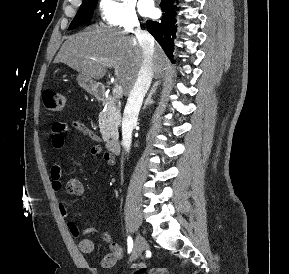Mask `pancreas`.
<instances>
[{
	"instance_id": "cf45deb5",
	"label": "pancreas",
	"mask_w": 289,
	"mask_h": 274,
	"mask_svg": "<svg viewBox=\"0 0 289 274\" xmlns=\"http://www.w3.org/2000/svg\"><path fill=\"white\" fill-rule=\"evenodd\" d=\"M105 111L99 114V127L105 141L118 134V126L121 121V113L114 97L103 101Z\"/></svg>"
}]
</instances>
